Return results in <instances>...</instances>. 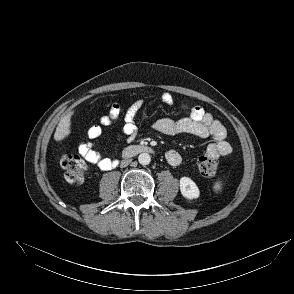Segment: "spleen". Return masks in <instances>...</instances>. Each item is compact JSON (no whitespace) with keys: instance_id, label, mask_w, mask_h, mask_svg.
<instances>
[{"instance_id":"spleen-1","label":"spleen","mask_w":294,"mask_h":294,"mask_svg":"<svg viewBox=\"0 0 294 294\" xmlns=\"http://www.w3.org/2000/svg\"><path fill=\"white\" fill-rule=\"evenodd\" d=\"M221 189V185L217 182L215 185H214V190L215 191H219Z\"/></svg>"}]
</instances>
